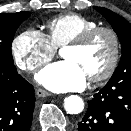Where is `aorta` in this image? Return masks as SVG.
<instances>
[{"instance_id": "762f6f07", "label": "aorta", "mask_w": 131, "mask_h": 131, "mask_svg": "<svg viewBox=\"0 0 131 131\" xmlns=\"http://www.w3.org/2000/svg\"><path fill=\"white\" fill-rule=\"evenodd\" d=\"M64 108L69 114H79L84 109V102L77 95H70L64 100Z\"/></svg>"}]
</instances>
